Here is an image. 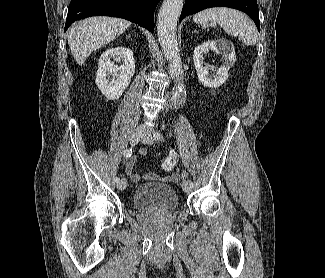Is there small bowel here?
Here are the masks:
<instances>
[{"mask_svg": "<svg viewBox=\"0 0 325 278\" xmlns=\"http://www.w3.org/2000/svg\"><path fill=\"white\" fill-rule=\"evenodd\" d=\"M147 153H148V150L145 149V148H142L139 151V156H145V155H147ZM136 164H137V157H133L127 162V164L125 166V173L130 177L131 181L134 182V183L139 182V180L141 178L140 175L135 171ZM186 177H187L186 172L177 171L174 174H172L170 177H168L167 180H169V181H179L180 179L186 178ZM144 178H146V179H155L156 175H154V174H146L144 176Z\"/></svg>", "mask_w": 325, "mask_h": 278, "instance_id": "obj_1", "label": "small bowel"}]
</instances>
